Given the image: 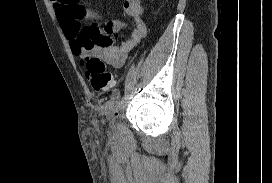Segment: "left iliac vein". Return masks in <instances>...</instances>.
Instances as JSON below:
<instances>
[{
  "label": "left iliac vein",
  "mask_w": 272,
  "mask_h": 183,
  "mask_svg": "<svg viewBox=\"0 0 272 183\" xmlns=\"http://www.w3.org/2000/svg\"><path fill=\"white\" fill-rule=\"evenodd\" d=\"M118 110V100L112 99L105 104V115L114 121L115 113Z\"/></svg>",
  "instance_id": "left-iliac-vein-1"
}]
</instances>
